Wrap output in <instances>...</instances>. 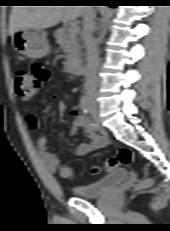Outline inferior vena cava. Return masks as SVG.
I'll use <instances>...</instances> for the list:
<instances>
[{
	"label": "inferior vena cava",
	"mask_w": 170,
	"mask_h": 231,
	"mask_svg": "<svg viewBox=\"0 0 170 231\" xmlns=\"http://www.w3.org/2000/svg\"><path fill=\"white\" fill-rule=\"evenodd\" d=\"M83 42L86 48V91L94 93L97 88V70L99 66V53L97 43L93 38L95 29L94 6H83Z\"/></svg>",
	"instance_id": "inferior-vena-cava-1"
}]
</instances>
